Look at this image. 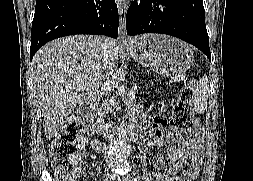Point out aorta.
<instances>
[{"label": "aorta", "instance_id": "obj_1", "mask_svg": "<svg viewBox=\"0 0 253 181\" xmlns=\"http://www.w3.org/2000/svg\"><path fill=\"white\" fill-rule=\"evenodd\" d=\"M121 123H117V128H118V142H119V148L121 150V157H127L128 155V143H127V136H126V130H127V127H126V123H122L123 121L121 120L120 121Z\"/></svg>", "mask_w": 253, "mask_h": 181}]
</instances>
